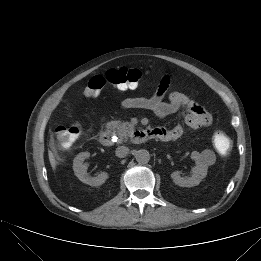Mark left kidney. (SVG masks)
Returning a JSON list of instances; mask_svg holds the SVG:
<instances>
[{"label": "left kidney", "mask_w": 261, "mask_h": 261, "mask_svg": "<svg viewBox=\"0 0 261 261\" xmlns=\"http://www.w3.org/2000/svg\"><path fill=\"white\" fill-rule=\"evenodd\" d=\"M191 159L196 163L193 168V175L191 177H181L178 171L171 173L173 182L181 187H193L199 185V183L207 175V165L202 161L201 155L197 151L191 153Z\"/></svg>", "instance_id": "obj_1"}]
</instances>
